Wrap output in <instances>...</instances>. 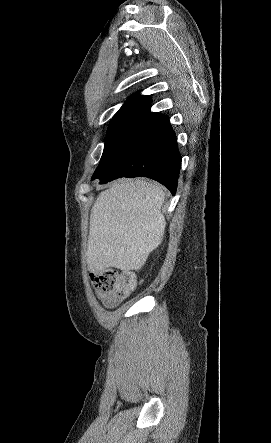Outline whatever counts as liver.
<instances>
[{
    "instance_id": "obj_1",
    "label": "liver",
    "mask_w": 271,
    "mask_h": 443,
    "mask_svg": "<svg viewBox=\"0 0 271 443\" xmlns=\"http://www.w3.org/2000/svg\"><path fill=\"white\" fill-rule=\"evenodd\" d=\"M164 200L161 186L144 178H122L101 192L90 214L88 269L94 273L106 267H117L124 273L142 269L163 239Z\"/></svg>"
}]
</instances>
